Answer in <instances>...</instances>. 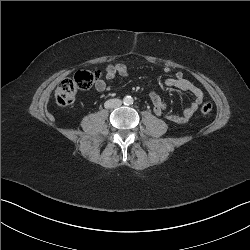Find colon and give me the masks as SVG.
<instances>
[{
  "label": "colon",
  "instance_id": "colon-1",
  "mask_svg": "<svg viewBox=\"0 0 250 250\" xmlns=\"http://www.w3.org/2000/svg\"><path fill=\"white\" fill-rule=\"evenodd\" d=\"M99 77V73L96 72L78 71L73 77L62 80L55 91L57 104L62 107L72 105L76 101L78 91L91 88ZM211 110L210 103H204L201 106L203 115H208Z\"/></svg>",
  "mask_w": 250,
  "mask_h": 250
}]
</instances>
